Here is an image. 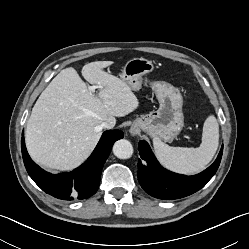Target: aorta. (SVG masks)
I'll use <instances>...</instances> for the list:
<instances>
[{"instance_id":"obj_1","label":"aorta","mask_w":249,"mask_h":249,"mask_svg":"<svg viewBox=\"0 0 249 249\" xmlns=\"http://www.w3.org/2000/svg\"><path fill=\"white\" fill-rule=\"evenodd\" d=\"M113 153L119 159H129L133 154V146L126 139H120L113 145Z\"/></svg>"}]
</instances>
